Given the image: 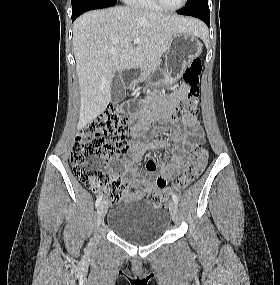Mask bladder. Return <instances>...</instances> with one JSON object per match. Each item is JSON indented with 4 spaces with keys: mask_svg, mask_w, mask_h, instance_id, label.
Segmentation results:
<instances>
[{
    "mask_svg": "<svg viewBox=\"0 0 280 285\" xmlns=\"http://www.w3.org/2000/svg\"><path fill=\"white\" fill-rule=\"evenodd\" d=\"M107 225L120 238L147 243L162 237L170 225L168 212L142 199L115 205L107 215Z\"/></svg>",
    "mask_w": 280,
    "mask_h": 285,
    "instance_id": "31cf9c89",
    "label": "bladder"
}]
</instances>
